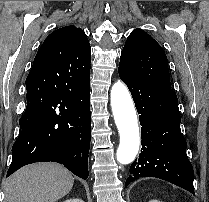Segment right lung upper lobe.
<instances>
[{
	"label": "right lung upper lobe",
	"instance_id": "1",
	"mask_svg": "<svg viewBox=\"0 0 209 202\" xmlns=\"http://www.w3.org/2000/svg\"><path fill=\"white\" fill-rule=\"evenodd\" d=\"M91 48L85 32L73 25L53 31L39 48L34 62L67 83H90Z\"/></svg>",
	"mask_w": 209,
	"mask_h": 202
}]
</instances>
